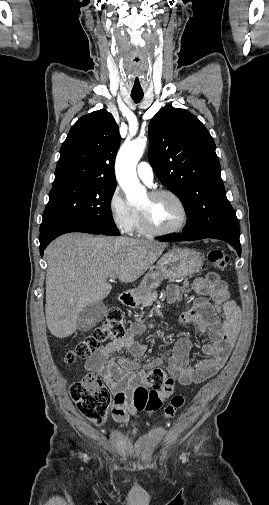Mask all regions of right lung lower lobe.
I'll use <instances>...</instances> for the list:
<instances>
[{
  "label": "right lung lower lobe",
  "instance_id": "1",
  "mask_svg": "<svg viewBox=\"0 0 269 505\" xmlns=\"http://www.w3.org/2000/svg\"><path fill=\"white\" fill-rule=\"evenodd\" d=\"M69 232H85L91 234H102L98 231L81 227L75 224L69 223H58L46 227L44 230L40 231V254L43 256L44 250L47 245L54 240L56 237L69 233Z\"/></svg>",
  "mask_w": 269,
  "mask_h": 505
}]
</instances>
